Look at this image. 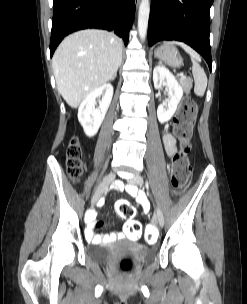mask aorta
<instances>
[{
	"instance_id": "aorta-1",
	"label": "aorta",
	"mask_w": 247,
	"mask_h": 304,
	"mask_svg": "<svg viewBox=\"0 0 247 304\" xmlns=\"http://www.w3.org/2000/svg\"><path fill=\"white\" fill-rule=\"evenodd\" d=\"M150 14L149 0H141L138 13V32L141 41H144L147 34L148 20Z\"/></svg>"
}]
</instances>
